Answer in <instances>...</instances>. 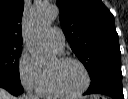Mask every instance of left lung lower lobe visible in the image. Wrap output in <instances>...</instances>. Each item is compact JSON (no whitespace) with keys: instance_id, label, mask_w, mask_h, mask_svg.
Returning <instances> with one entry per match:
<instances>
[{"instance_id":"obj_1","label":"left lung lower lobe","mask_w":128,"mask_h":99,"mask_svg":"<svg viewBox=\"0 0 128 99\" xmlns=\"http://www.w3.org/2000/svg\"><path fill=\"white\" fill-rule=\"evenodd\" d=\"M90 78L91 84L85 95L105 94L114 99H124L120 65H103Z\"/></svg>"}]
</instances>
